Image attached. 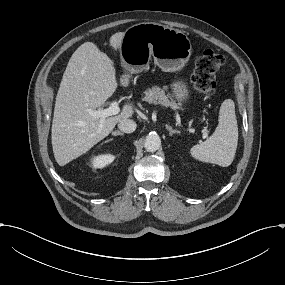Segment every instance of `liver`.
<instances>
[{
  "mask_svg": "<svg viewBox=\"0 0 285 285\" xmlns=\"http://www.w3.org/2000/svg\"><path fill=\"white\" fill-rule=\"evenodd\" d=\"M126 32L109 38L113 56L117 57ZM119 86L115 61L102 53L93 42L83 43L71 56L56 97L52 121V149L61 167L88 153L106 138L122 119L135 115L136 103L125 102L118 115L91 117L86 108H100Z\"/></svg>",
  "mask_w": 285,
  "mask_h": 285,
  "instance_id": "liver-1",
  "label": "liver"
}]
</instances>
